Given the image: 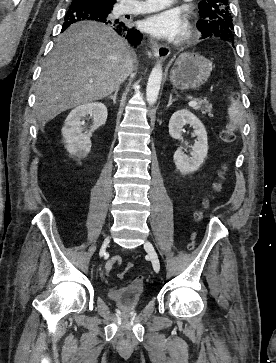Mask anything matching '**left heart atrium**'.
<instances>
[{
  "label": "left heart atrium",
  "instance_id": "1",
  "mask_svg": "<svg viewBox=\"0 0 276 363\" xmlns=\"http://www.w3.org/2000/svg\"><path fill=\"white\" fill-rule=\"evenodd\" d=\"M144 27L155 36L176 40L185 34L187 20L177 11L169 10L147 18Z\"/></svg>",
  "mask_w": 276,
  "mask_h": 363
}]
</instances>
